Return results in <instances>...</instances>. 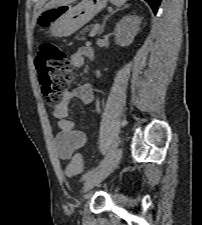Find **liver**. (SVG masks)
I'll return each mask as SVG.
<instances>
[{
	"label": "liver",
	"mask_w": 202,
	"mask_h": 225,
	"mask_svg": "<svg viewBox=\"0 0 202 225\" xmlns=\"http://www.w3.org/2000/svg\"><path fill=\"white\" fill-rule=\"evenodd\" d=\"M76 0H50L44 7L43 9H41V11L39 12V14L47 9H51V8H55L61 5H68L70 3L75 2Z\"/></svg>",
	"instance_id": "6515ba94"
}]
</instances>
